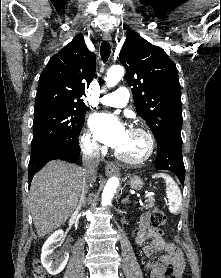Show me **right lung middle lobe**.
<instances>
[{
  "label": "right lung middle lobe",
  "mask_w": 221,
  "mask_h": 278,
  "mask_svg": "<svg viewBox=\"0 0 221 278\" xmlns=\"http://www.w3.org/2000/svg\"><path fill=\"white\" fill-rule=\"evenodd\" d=\"M86 109L70 106L35 107L31 145L50 136L78 137L85 121Z\"/></svg>",
  "instance_id": "dd1d6c3e"
}]
</instances>
